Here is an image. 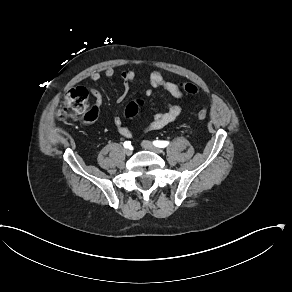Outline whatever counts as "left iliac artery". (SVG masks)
<instances>
[{"instance_id": "left-iliac-artery-1", "label": "left iliac artery", "mask_w": 292, "mask_h": 292, "mask_svg": "<svg viewBox=\"0 0 292 292\" xmlns=\"http://www.w3.org/2000/svg\"><path fill=\"white\" fill-rule=\"evenodd\" d=\"M153 144H154L156 147H159V148H165L166 146H168L169 141L156 140V141L153 142Z\"/></svg>"}]
</instances>
